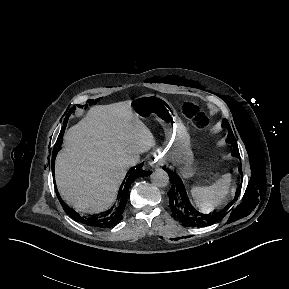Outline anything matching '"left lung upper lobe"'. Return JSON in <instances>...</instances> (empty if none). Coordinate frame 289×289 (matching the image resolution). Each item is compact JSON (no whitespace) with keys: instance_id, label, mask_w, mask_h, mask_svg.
<instances>
[{"instance_id":"left-lung-upper-lobe-1","label":"left lung upper lobe","mask_w":289,"mask_h":289,"mask_svg":"<svg viewBox=\"0 0 289 289\" xmlns=\"http://www.w3.org/2000/svg\"><path fill=\"white\" fill-rule=\"evenodd\" d=\"M223 127L227 128L229 130L228 138H227L226 141L233 145L232 155L235 156V157L240 158V154H239L238 146H237V143H236V139H235V137L233 135V132H232V130L230 128L229 123L227 121H225V120H223Z\"/></svg>"}]
</instances>
